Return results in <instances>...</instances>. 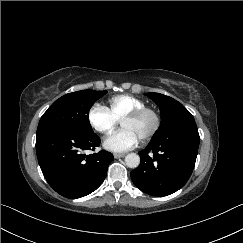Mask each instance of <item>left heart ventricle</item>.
<instances>
[{
  "mask_svg": "<svg viewBox=\"0 0 243 243\" xmlns=\"http://www.w3.org/2000/svg\"><path fill=\"white\" fill-rule=\"evenodd\" d=\"M123 128L132 130L139 140L144 138L153 126V119L150 115H145L136 120H124L121 122Z\"/></svg>",
  "mask_w": 243,
  "mask_h": 243,
  "instance_id": "1",
  "label": "left heart ventricle"
}]
</instances>
